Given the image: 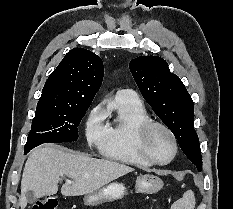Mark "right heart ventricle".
Listing matches in <instances>:
<instances>
[{"label":"right heart ventricle","instance_id":"right-heart-ventricle-1","mask_svg":"<svg viewBox=\"0 0 233 209\" xmlns=\"http://www.w3.org/2000/svg\"><path fill=\"white\" fill-rule=\"evenodd\" d=\"M115 113L106 127V137L101 143V154L113 161L137 167H148L151 163L141 157L136 146V130L150 119L139 99L119 93L109 100L105 114Z\"/></svg>","mask_w":233,"mask_h":209}]
</instances>
